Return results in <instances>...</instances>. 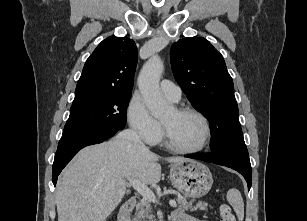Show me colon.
<instances>
[{
    "label": "colon",
    "instance_id": "5ec220e1",
    "mask_svg": "<svg viewBox=\"0 0 307 221\" xmlns=\"http://www.w3.org/2000/svg\"><path fill=\"white\" fill-rule=\"evenodd\" d=\"M220 221H236L235 215L229 205L222 204L219 208Z\"/></svg>",
    "mask_w": 307,
    "mask_h": 221
}]
</instances>
